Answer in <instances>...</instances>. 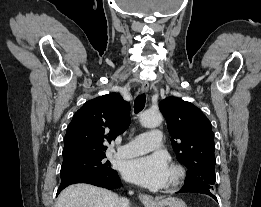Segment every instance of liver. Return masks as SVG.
<instances>
[{
	"mask_svg": "<svg viewBox=\"0 0 261 207\" xmlns=\"http://www.w3.org/2000/svg\"><path fill=\"white\" fill-rule=\"evenodd\" d=\"M117 194L89 184H73L58 196L54 207H118Z\"/></svg>",
	"mask_w": 261,
	"mask_h": 207,
	"instance_id": "1",
	"label": "liver"
}]
</instances>
